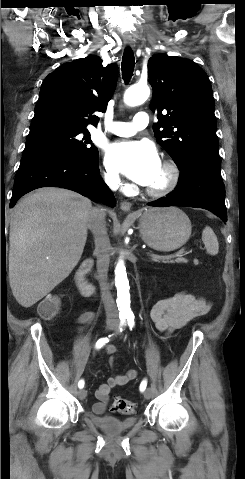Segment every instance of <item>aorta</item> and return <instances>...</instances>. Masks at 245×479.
<instances>
[{
	"label": "aorta",
	"instance_id": "762f6f07",
	"mask_svg": "<svg viewBox=\"0 0 245 479\" xmlns=\"http://www.w3.org/2000/svg\"><path fill=\"white\" fill-rule=\"evenodd\" d=\"M150 95V89L147 85H133L126 90L124 102L131 106H138L144 103ZM115 286L117 289V306L120 314H131L129 281L126 274L124 261L120 259L115 268Z\"/></svg>",
	"mask_w": 245,
	"mask_h": 479
}]
</instances>
